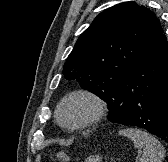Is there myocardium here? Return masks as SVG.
Instances as JSON below:
<instances>
[{
	"mask_svg": "<svg viewBox=\"0 0 168 162\" xmlns=\"http://www.w3.org/2000/svg\"><path fill=\"white\" fill-rule=\"evenodd\" d=\"M71 102H80L88 106V114L79 122L69 124L62 119L63 108ZM106 102L99 95L88 90H76L66 94L57 104L55 117L57 123L64 129L76 131L89 127L102 119L106 112Z\"/></svg>",
	"mask_w": 168,
	"mask_h": 162,
	"instance_id": "myocardium-1",
	"label": "myocardium"
}]
</instances>
